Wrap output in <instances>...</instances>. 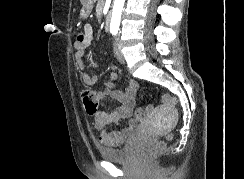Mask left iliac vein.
Returning a JSON list of instances; mask_svg holds the SVG:
<instances>
[{"mask_svg": "<svg viewBox=\"0 0 244 179\" xmlns=\"http://www.w3.org/2000/svg\"><path fill=\"white\" fill-rule=\"evenodd\" d=\"M114 52L116 55L117 60L121 63V64H125V58L124 55L121 51V47L118 43V39L116 40L115 46H114Z\"/></svg>", "mask_w": 244, "mask_h": 179, "instance_id": "obj_1", "label": "left iliac vein"}]
</instances>
